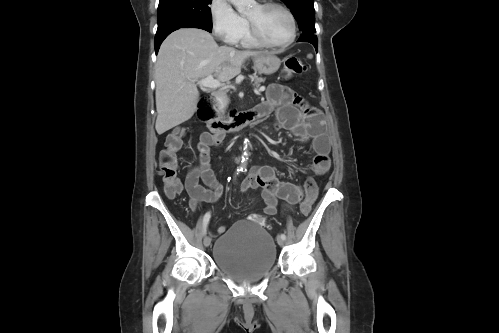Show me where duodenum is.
Wrapping results in <instances>:
<instances>
[{"mask_svg":"<svg viewBox=\"0 0 499 333\" xmlns=\"http://www.w3.org/2000/svg\"><path fill=\"white\" fill-rule=\"evenodd\" d=\"M199 115L201 119L208 121L210 134L213 136H224L228 133H235L245 126L255 123L263 117V111L255 107L246 111L235 112L226 120H218L212 118L209 109L202 105Z\"/></svg>","mask_w":499,"mask_h":333,"instance_id":"obj_1","label":"duodenum"}]
</instances>
